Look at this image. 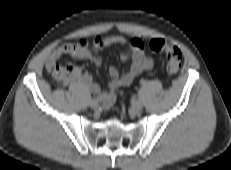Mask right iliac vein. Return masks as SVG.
I'll return each instance as SVG.
<instances>
[{"instance_id":"63e3f726","label":"right iliac vein","mask_w":231,"mask_h":170,"mask_svg":"<svg viewBox=\"0 0 231 170\" xmlns=\"http://www.w3.org/2000/svg\"><path fill=\"white\" fill-rule=\"evenodd\" d=\"M99 106H100V103H99L98 100L93 99V100L90 101V107L92 109L97 110L99 108Z\"/></svg>"}]
</instances>
